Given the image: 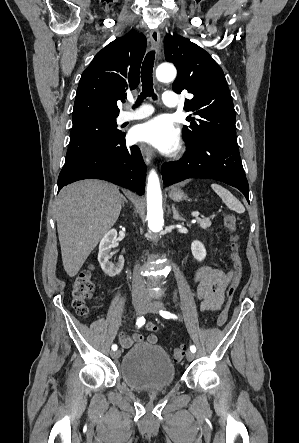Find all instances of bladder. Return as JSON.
<instances>
[{
    "label": "bladder",
    "mask_w": 299,
    "mask_h": 443,
    "mask_svg": "<svg viewBox=\"0 0 299 443\" xmlns=\"http://www.w3.org/2000/svg\"><path fill=\"white\" fill-rule=\"evenodd\" d=\"M176 367L157 344L139 343L130 348L120 363V376L136 390H160L173 385Z\"/></svg>",
    "instance_id": "obj_1"
}]
</instances>
